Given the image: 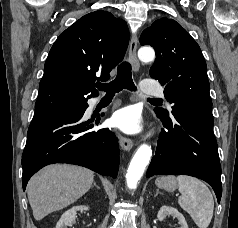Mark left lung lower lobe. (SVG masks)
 Returning <instances> with one entry per match:
<instances>
[{
	"label": "left lung lower lobe",
	"mask_w": 238,
	"mask_h": 228,
	"mask_svg": "<svg viewBox=\"0 0 238 228\" xmlns=\"http://www.w3.org/2000/svg\"><path fill=\"white\" fill-rule=\"evenodd\" d=\"M160 119L165 130L161 132L146 177L183 174L200 178L212 186L219 203L221 165L213 121L184 114Z\"/></svg>",
	"instance_id": "obj_1"
}]
</instances>
